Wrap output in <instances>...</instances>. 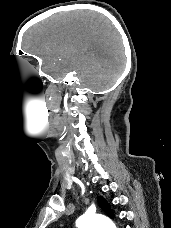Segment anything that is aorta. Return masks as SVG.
Returning <instances> with one entry per match:
<instances>
[{"label": "aorta", "instance_id": "obj_1", "mask_svg": "<svg viewBox=\"0 0 171 228\" xmlns=\"http://www.w3.org/2000/svg\"><path fill=\"white\" fill-rule=\"evenodd\" d=\"M77 228H116L107 217L99 214H84L76 221Z\"/></svg>", "mask_w": 171, "mask_h": 228}]
</instances>
